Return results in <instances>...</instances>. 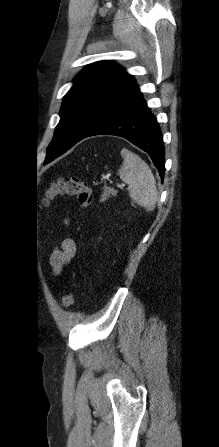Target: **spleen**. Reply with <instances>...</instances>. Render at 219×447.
<instances>
[{"label": "spleen", "instance_id": "spleen-1", "mask_svg": "<svg viewBox=\"0 0 219 447\" xmlns=\"http://www.w3.org/2000/svg\"><path fill=\"white\" fill-rule=\"evenodd\" d=\"M123 163L118 171L128 185L131 199L147 211H152L158 200L156 181L149 166L128 149L121 150Z\"/></svg>", "mask_w": 219, "mask_h": 447}]
</instances>
